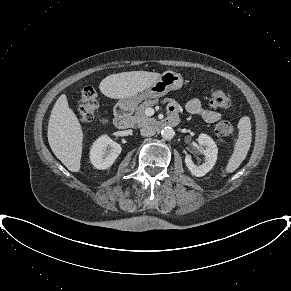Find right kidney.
<instances>
[{
    "mask_svg": "<svg viewBox=\"0 0 291 291\" xmlns=\"http://www.w3.org/2000/svg\"><path fill=\"white\" fill-rule=\"evenodd\" d=\"M121 146L104 135L99 137L90 149V161L95 168H109L121 153Z\"/></svg>",
    "mask_w": 291,
    "mask_h": 291,
    "instance_id": "obj_1",
    "label": "right kidney"
}]
</instances>
